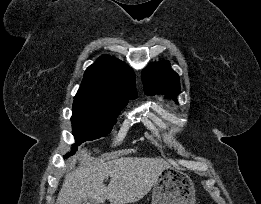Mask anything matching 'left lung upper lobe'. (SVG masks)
<instances>
[{
  "instance_id": "5c2ea615",
  "label": "left lung upper lobe",
  "mask_w": 261,
  "mask_h": 204,
  "mask_svg": "<svg viewBox=\"0 0 261 204\" xmlns=\"http://www.w3.org/2000/svg\"><path fill=\"white\" fill-rule=\"evenodd\" d=\"M146 94L166 93L174 96L180 89L178 74L171 70L169 62L153 63L142 72Z\"/></svg>"
}]
</instances>
